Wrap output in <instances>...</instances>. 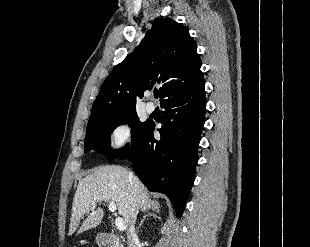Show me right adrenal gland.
<instances>
[{
  "label": "right adrenal gland",
  "instance_id": "right-adrenal-gland-1",
  "mask_svg": "<svg viewBox=\"0 0 310 247\" xmlns=\"http://www.w3.org/2000/svg\"><path fill=\"white\" fill-rule=\"evenodd\" d=\"M150 209L152 212H148L147 214L143 215V217L140 221V224L138 226V232H139V229L141 228V226L143 225L144 221L146 220V217L153 216L155 218L160 219V217L157 216V214L159 213V209H157L155 206H152ZM155 213H157V214H155Z\"/></svg>",
  "mask_w": 310,
  "mask_h": 247
}]
</instances>
